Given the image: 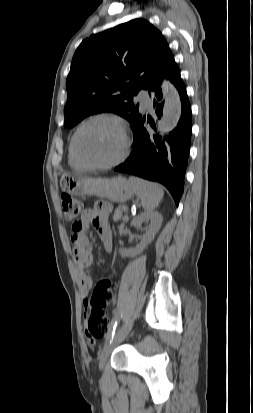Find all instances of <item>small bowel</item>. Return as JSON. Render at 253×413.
<instances>
[{"label":"small bowel","instance_id":"small-bowel-1","mask_svg":"<svg viewBox=\"0 0 253 413\" xmlns=\"http://www.w3.org/2000/svg\"><path fill=\"white\" fill-rule=\"evenodd\" d=\"M110 209L107 203L98 202L93 208L85 209L80 219L72 226L71 240L74 245V260L79 272L86 309L89 293L93 289V280L86 272L93 262L92 245L87 236V231L90 226H93L102 241L105 251L110 252L112 250V233L108 224Z\"/></svg>","mask_w":253,"mask_h":413}]
</instances>
